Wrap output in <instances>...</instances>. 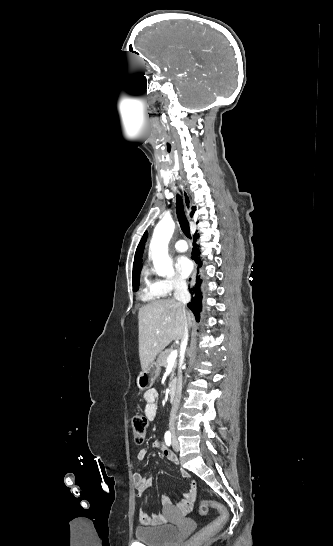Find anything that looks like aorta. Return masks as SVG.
Instances as JSON below:
<instances>
[{
  "instance_id": "aorta-1",
  "label": "aorta",
  "mask_w": 333,
  "mask_h": 546,
  "mask_svg": "<svg viewBox=\"0 0 333 546\" xmlns=\"http://www.w3.org/2000/svg\"><path fill=\"white\" fill-rule=\"evenodd\" d=\"M175 224L172 219L163 218L155 227L150 243V254L157 275L173 277L174 268L168 255V243L174 232Z\"/></svg>"
}]
</instances>
